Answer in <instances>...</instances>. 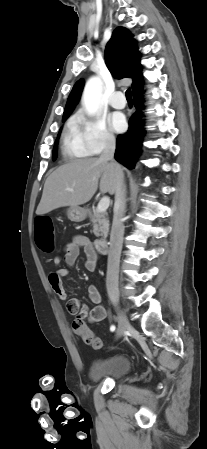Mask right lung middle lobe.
<instances>
[{
  "mask_svg": "<svg viewBox=\"0 0 207 449\" xmlns=\"http://www.w3.org/2000/svg\"><path fill=\"white\" fill-rule=\"evenodd\" d=\"M65 120H66V118H65V119H62L63 122H64ZM58 138H59V135H58V137H57V139H56V141H55V145H54V148H53V155H52L53 160L56 159V150H57Z\"/></svg>",
  "mask_w": 207,
  "mask_h": 449,
  "instance_id": "1",
  "label": "right lung middle lobe"
}]
</instances>
